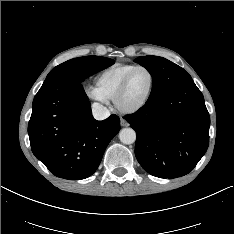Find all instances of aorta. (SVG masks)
Listing matches in <instances>:
<instances>
[{"label":"aorta","mask_w":234,"mask_h":234,"mask_svg":"<svg viewBox=\"0 0 234 234\" xmlns=\"http://www.w3.org/2000/svg\"><path fill=\"white\" fill-rule=\"evenodd\" d=\"M119 139L123 144H133L136 140V132L132 128H123L119 133Z\"/></svg>","instance_id":"1"}]
</instances>
